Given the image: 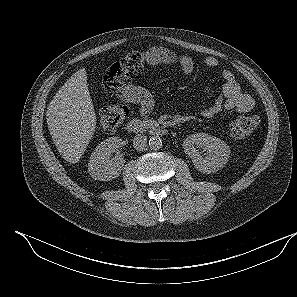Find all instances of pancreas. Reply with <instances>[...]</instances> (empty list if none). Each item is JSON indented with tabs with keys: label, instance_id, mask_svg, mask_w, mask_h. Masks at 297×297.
Segmentation results:
<instances>
[{
	"label": "pancreas",
	"instance_id": "pancreas-1",
	"mask_svg": "<svg viewBox=\"0 0 297 297\" xmlns=\"http://www.w3.org/2000/svg\"><path fill=\"white\" fill-rule=\"evenodd\" d=\"M155 122L153 120H145V124L153 125Z\"/></svg>",
	"mask_w": 297,
	"mask_h": 297
}]
</instances>
